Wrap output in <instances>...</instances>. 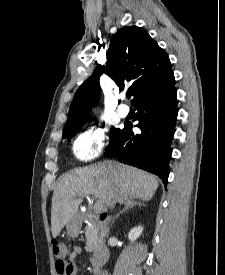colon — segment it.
I'll return each instance as SVG.
<instances>
[{
	"label": "colon",
	"mask_w": 225,
	"mask_h": 275,
	"mask_svg": "<svg viewBox=\"0 0 225 275\" xmlns=\"http://www.w3.org/2000/svg\"><path fill=\"white\" fill-rule=\"evenodd\" d=\"M101 218L106 220L108 219L107 214H102ZM53 253L57 258L56 261V273L57 275H67L71 271L66 257L68 255V248L66 244L59 240H54L52 243Z\"/></svg>",
	"instance_id": "obj_1"
}]
</instances>
